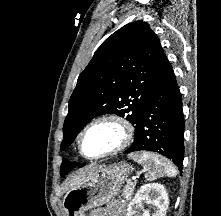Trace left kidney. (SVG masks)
Wrapping results in <instances>:
<instances>
[{
    "label": "left kidney",
    "instance_id": "5707ae66",
    "mask_svg": "<svg viewBox=\"0 0 221 216\" xmlns=\"http://www.w3.org/2000/svg\"><path fill=\"white\" fill-rule=\"evenodd\" d=\"M144 203L153 207L152 216H165L169 205L165 187L158 183H148L141 186L130 202L126 216H150L149 210H143L142 215L139 212L140 209H143Z\"/></svg>",
    "mask_w": 221,
    "mask_h": 216
}]
</instances>
